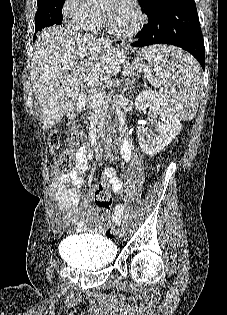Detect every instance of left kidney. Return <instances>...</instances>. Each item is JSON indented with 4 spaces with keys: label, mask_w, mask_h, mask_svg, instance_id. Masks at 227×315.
Here are the masks:
<instances>
[{
    "label": "left kidney",
    "mask_w": 227,
    "mask_h": 315,
    "mask_svg": "<svg viewBox=\"0 0 227 315\" xmlns=\"http://www.w3.org/2000/svg\"><path fill=\"white\" fill-rule=\"evenodd\" d=\"M135 108L138 111H145L149 108L153 117L160 116L157 132L153 134L147 127H138L136 133L142 151L147 155H155L168 146L173 138L180 132L182 125L174 112L165 105L162 98L153 90H146L139 93L135 99Z\"/></svg>",
    "instance_id": "left-kidney-1"
}]
</instances>
